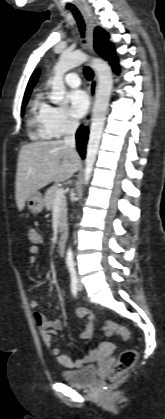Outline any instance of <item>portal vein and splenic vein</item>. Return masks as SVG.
<instances>
[{
	"mask_svg": "<svg viewBox=\"0 0 165 419\" xmlns=\"http://www.w3.org/2000/svg\"><path fill=\"white\" fill-rule=\"evenodd\" d=\"M63 195H64V189L63 188H59L56 191V202H59L60 199L63 197Z\"/></svg>",
	"mask_w": 165,
	"mask_h": 419,
	"instance_id": "18ae733b",
	"label": "portal vein and splenic vein"
}]
</instances>
